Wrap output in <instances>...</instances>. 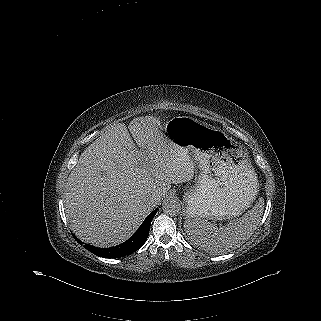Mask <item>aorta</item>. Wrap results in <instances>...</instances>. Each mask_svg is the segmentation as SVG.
Segmentation results:
<instances>
[{"mask_svg": "<svg viewBox=\"0 0 321 321\" xmlns=\"http://www.w3.org/2000/svg\"><path fill=\"white\" fill-rule=\"evenodd\" d=\"M162 209L164 213L171 216H176L181 211V204L177 199L169 197L164 200Z\"/></svg>", "mask_w": 321, "mask_h": 321, "instance_id": "obj_1", "label": "aorta"}]
</instances>
